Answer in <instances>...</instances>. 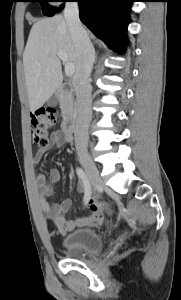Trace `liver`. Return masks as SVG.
Masks as SVG:
<instances>
[{
	"label": "liver",
	"instance_id": "liver-1",
	"mask_svg": "<svg viewBox=\"0 0 181 300\" xmlns=\"http://www.w3.org/2000/svg\"><path fill=\"white\" fill-rule=\"evenodd\" d=\"M58 51H64L77 67V55L66 20L61 15L36 22L23 53L30 111L34 112L60 87L63 81Z\"/></svg>",
	"mask_w": 181,
	"mask_h": 300
}]
</instances>
